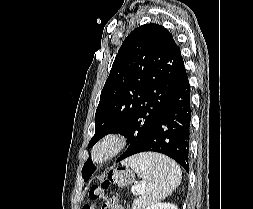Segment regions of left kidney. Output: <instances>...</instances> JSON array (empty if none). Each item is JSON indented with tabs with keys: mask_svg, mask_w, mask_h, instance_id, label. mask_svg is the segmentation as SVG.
I'll return each instance as SVG.
<instances>
[{
	"mask_svg": "<svg viewBox=\"0 0 253 209\" xmlns=\"http://www.w3.org/2000/svg\"><path fill=\"white\" fill-rule=\"evenodd\" d=\"M145 209H178L177 206L171 203H155L149 205Z\"/></svg>",
	"mask_w": 253,
	"mask_h": 209,
	"instance_id": "5707ae66",
	"label": "left kidney"
}]
</instances>
